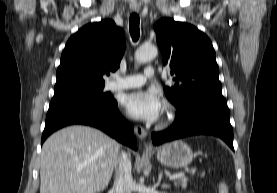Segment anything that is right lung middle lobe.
Instances as JSON below:
<instances>
[{
	"mask_svg": "<svg viewBox=\"0 0 277 193\" xmlns=\"http://www.w3.org/2000/svg\"><path fill=\"white\" fill-rule=\"evenodd\" d=\"M103 88H104V85H101V86L90 87V88L76 89V90L65 92L63 94L89 97L102 102H111L112 100H114L111 93H103Z\"/></svg>",
	"mask_w": 277,
	"mask_h": 193,
	"instance_id": "1",
	"label": "right lung middle lobe"
}]
</instances>
